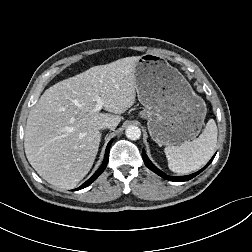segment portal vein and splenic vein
<instances>
[{
	"label": "portal vein and splenic vein",
	"instance_id": "portal-vein-and-splenic-vein-1",
	"mask_svg": "<svg viewBox=\"0 0 252 252\" xmlns=\"http://www.w3.org/2000/svg\"><path fill=\"white\" fill-rule=\"evenodd\" d=\"M103 105H104L103 101L99 97H97L94 111L95 112L100 111L102 109Z\"/></svg>",
	"mask_w": 252,
	"mask_h": 252
}]
</instances>
